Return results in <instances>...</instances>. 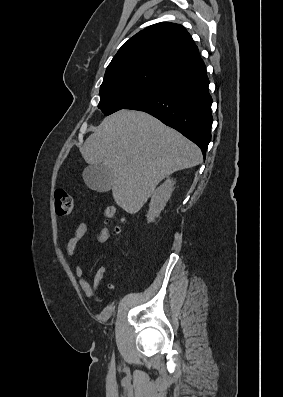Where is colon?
I'll use <instances>...</instances> for the list:
<instances>
[{"label":"colon","instance_id":"1","mask_svg":"<svg viewBox=\"0 0 283 397\" xmlns=\"http://www.w3.org/2000/svg\"><path fill=\"white\" fill-rule=\"evenodd\" d=\"M55 199V210L58 215H68L73 211V199L71 195L64 189H56L54 193ZM104 216L108 219H113L116 222V230L121 231L123 225V219L119 218L115 214V210L112 207H107L104 210Z\"/></svg>","mask_w":283,"mask_h":397}]
</instances>
